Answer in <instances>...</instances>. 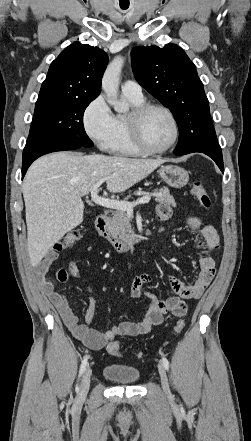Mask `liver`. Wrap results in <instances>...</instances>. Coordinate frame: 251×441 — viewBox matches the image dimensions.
I'll return each instance as SVG.
<instances>
[{"label":"liver","instance_id":"6515ba94","mask_svg":"<svg viewBox=\"0 0 251 441\" xmlns=\"http://www.w3.org/2000/svg\"><path fill=\"white\" fill-rule=\"evenodd\" d=\"M164 162L66 152L37 159L22 185L31 265L37 266L56 242L83 222L81 198L99 180H106L110 192H123Z\"/></svg>","mask_w":251,"mask_h":441}]
</instances>
